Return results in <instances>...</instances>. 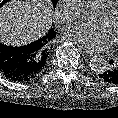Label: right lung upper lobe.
<instances>
[{
  "label": "right lung upper lobe",
  "mask_w": 118,
  "mask_h": 118,
  "mask_svg": "<svg viewBox=\"0 0 118 118\" xmlns=\"http://www.w3.org/2000/svg\"><path fill=\"white\" fill-rule=\"evenodd\" d=\"M55 36L56 33L53 29H51L45 36L30 44L36 55L37 71H42L44 69L47 57L49 55V47Z\"/></svg>",
  "instance_id": "cb5924a9"
}]
</instances>
